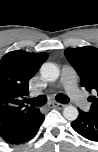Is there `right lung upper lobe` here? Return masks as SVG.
<instances>
[{"label":"right lung upper lobe","mask_w":98,"mask_h":152,"mask_svg":"<svg viewBox=\"0 0 98 152\" xmlns=\"http://www.w3.org/2000/svg\"><path fill=\"white\" fill-rule=\"evenodd\" d=\"M48 58L47 53L12 51L0 60V135H3L36 112L22 99L29 95V80Z\"/></svg>","instance_id":"cb5924a9"}]
</instances>
